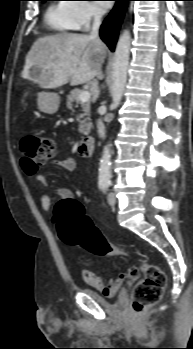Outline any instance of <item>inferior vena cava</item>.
Here are the masks:
<instances>
[{"mask_svg":"<svg viewBox=\"0 0 193 349\" xmlns=\"http://www.w3.org/2000/svg\"><path fill=\"white\" fill-rule=\"evenodd\" d=\"M103 15V11L101 9L93 10V24L90 32V38L99 39V28L101 24V17ZM97 129L100 138H105V126L101 119L97 121Z\"/></svg>","mask_w":193,"mask_h":349,"instance_id":"obj_1","label":"inferior vena cava"}]
</instances>
